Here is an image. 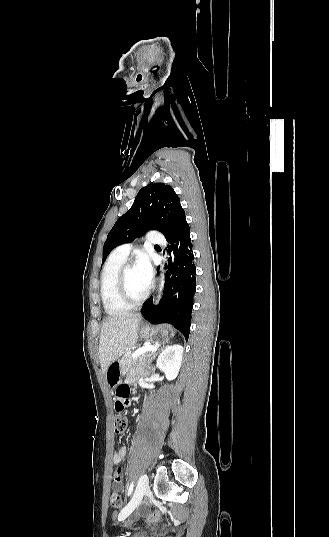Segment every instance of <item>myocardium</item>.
Listing matches in <instances>:
<instances>
[{"instance_id": "myocardium-1", "label": "myocardium", "mask_w": 329, "mask_h": 537, "mask_svg": "<svg viewBox=\"0 0 329 537\" xmlns=\"http://www.w3.org/2000/svg\"><path fill=\"white\" fill-rule=\"evenodd\" d=\"M130 267H132L131 264H125L120 268L117 277V284L119 295L122 301L130 307H135L142 304L148 298L151 288L148 287L146 292L138 299H133L130 297L126 288V272Z\"/></svg>"}]
</instances>
